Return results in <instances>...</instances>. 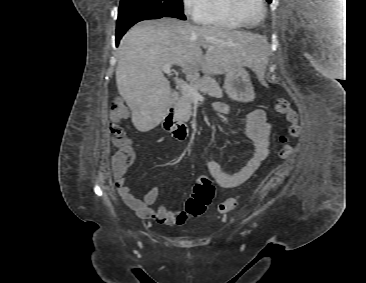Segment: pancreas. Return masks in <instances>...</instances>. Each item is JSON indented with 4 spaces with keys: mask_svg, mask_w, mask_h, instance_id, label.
Wrapping results in <instances>:
<instances>
[{
    "mask_svg": "<svg viewBox=\"0 0 366 283\" xmlns=\"http://www.w3.org/2000/svg\"><path fill=\"white\" fill-rule=\"evenodd\" d=\"M190 83L197 86L198 92L208 94L211 97H223V91L219 84L212 77L205 75L200 78L196 75L190 76ZM194 96L190 93L182 92L177 103L178 115L184 122L189 121L192 115V103Z\"/></svg>",
    "mask_w": 366,
    "mask_h": 283,
    "instance_id": "1",
    "label": "pancreas"
}]
</instances>
